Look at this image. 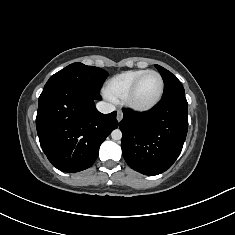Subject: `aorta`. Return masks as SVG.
Returning a JSON list of instances; mask_svg holds the SVG:
<instances>
[{"instance_id": "1", "label": "aorta", "mask_w": 235, "mask_h": 235, "mask_svg": "<svg viewBox=\"0 0 235 235\" xmlns=\"http://www.w3.org/2000/svg\"><path fill=\"white\" fill-rule=\"evenodd\" d=\"M113 140H120L122 138V132L119 129H115L111 133Z\"/></svg>"}]
</instances>
